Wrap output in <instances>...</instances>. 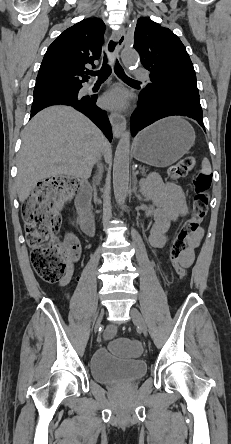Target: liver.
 Masks as SVG:
<instances>
[{
    "instance_id": "6515ba94",
    "label": "liver",
    "mask_w": 231,
    "mask_h": 444,
    "mask_svg": "<svg viewBox=\"0 0 231 444\" xmlns=\"http://www.w3.org/2000/svg\"><path fill=\"white\" fill-rule=\"evenodd\" d=\"M83 114L68 106L37 113L22 132L18 154L17 193L24 202L37 183L50 177L87 179L101 155L111 158V145Z\"/></svg>"
}]
</instances>
